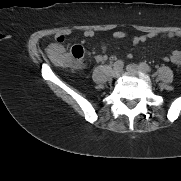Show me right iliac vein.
<instances>
[{
	"instance_id": "1",
	"label": "right iliac vein",
	"mask_w": 181,
	"mask_h": 181,
	"mask_svg": "<svg viewBox=\"0 0 181 181\" xmlns=\"http://www.w3.org/2000/svg\"><path fill=\"white\" fill-rule=\"evenodd\" d=\"M121 72H122V68H121V67H114V69H113V75H114L115 77L119 76V75L121 74Z\"/></svg>"
}]
</instances>
